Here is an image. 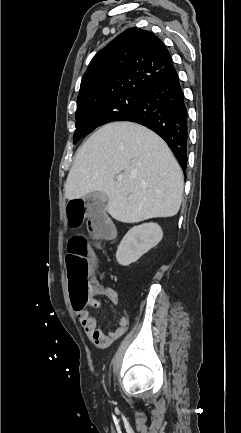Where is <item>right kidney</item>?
I'll return each instance as SVG.
<instances>
[{
  "mask_svg": "<svg viewBox=\"0 0 241 433\" xmlns=\"http://www.w3.org/2000/svg\"><path fill=\"white\" fill-rule=\"evenodd\" d=\"M163 237L157 223H145L131 228L123 237L116 252V260L122 266L136 262L142 255L155 247Z\"/></svg>",
  "mask_w": 241,
  "mask_h": 433,
  "instance_id": "1",
  "label": "right kidney"
}]
</instances>
